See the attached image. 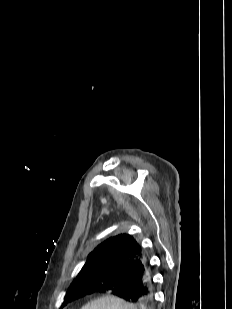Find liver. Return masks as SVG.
Instances as JSON below:
<instances>
[{"label":"liver","mask_w":232,"mask_h":309,"mask_svg":"<svg viewBox=\"0 0 232 309\" xmlns=\"http://www.w3.org/2000/svg\"><path fill=\"white\" fill-rule=\"evenodd\" d=\"M81 309H137L135 305L115 296H104L87 303Z\"/></svg>","instance_id":"1"}]
</instances>
